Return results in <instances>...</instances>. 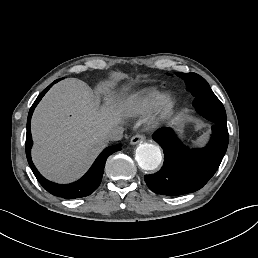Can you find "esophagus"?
I'll use <instances>...</instances> for the list:
<instances>
[{"mask_svg": "<svg viewBox=\"0 0 258 258\" xmlns=\"http://www.w3.org/2000/svg\"><path fill=\"white\" fill-rule=\"evenodd\" d=\"M145 140V136L143 134H135L131 140L130 143L132 145L138 144V143H142Z\"/></svg>", "mask_w": 258, "mask_h": 258, "instance_id": "esophagus-1", "label": "esophagus"}]
</instances>
